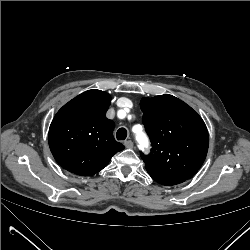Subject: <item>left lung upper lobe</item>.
<instances>
[{
    "mask_svg": "<svg viewBox=\"0 0 250 250\" xmlns=\"http://www.w3.org/2000/svg\"><path fill=\"white\" fill-rule=\"evenodd\" d=\"M140 107L152 145L149 155L141 154L148 174L154 180L192 178L208 151L209 136L202 118L169 94L143 98Z\"/></svg>",
    "mask_w": 250,
    "mask_h": 250,
    "instance_id": "left-lung-upper-lobe-1",
    "label": "left lung upper lobe"
}]
</instances>
